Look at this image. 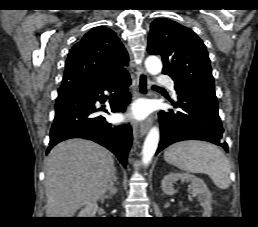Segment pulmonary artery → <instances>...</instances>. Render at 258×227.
Masks as SVG:
<instances>
[{"instance_id": "e3ab8cb5", "label": "pulmonary artery", "mask_w": 258, "mask_h": 227, "mask_svg": "<svg viewBox=\"0 0 258 227\" xmlns=\"http://www.w3.org/2000/svg\"><path fill=\"white\" fill-rule=\"evenodd\" d=\"M157 82L160 84H168L173 89V84H172L171 78H169L165 75H158Z\"/></svg>"}]
</instances>
